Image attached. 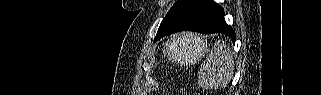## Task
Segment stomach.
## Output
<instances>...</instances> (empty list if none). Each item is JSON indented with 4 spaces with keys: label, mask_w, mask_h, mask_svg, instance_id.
I'll list each match as a JSON object with an SVG mask.
<instances>
[{
    "label": "stomach",
    "mask_w": 321,
    "mask_h": 95,
    "mask_svg": "<svg viewBox=\"0 0 321 95\" xmlns=\"http://www.w3.org/2000/svg\"><path fill=\"white\" fill-rule=\"evenodd\" d=\"M207 44L193 34H182L167 42L164 49L170 59L182 64L199 60L206 52Z\"/></svg>",
    "instance_id": "1"
}]
</instances>
